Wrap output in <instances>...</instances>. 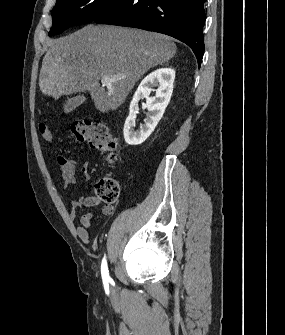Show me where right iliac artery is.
<instances>
[{
  "label": "right iliac artery",
  "instance_id": "obj_1",
  "mask_svg": "<svg viewBox=\"0 0 285 335\" xmlns=\"http://www.w3.org/2000/svg\"><path fill=\"white\" fill-rule=\"evenodd\" d=\"M101 275H102L103 282H108L110 280V276H109V273H108L107 262H106L105 258H103V260H102Z\"/></svg>",
  "mask_w": 285,
  "mask_h": 335
}]
</instances>
